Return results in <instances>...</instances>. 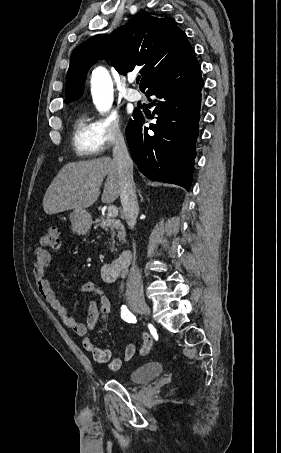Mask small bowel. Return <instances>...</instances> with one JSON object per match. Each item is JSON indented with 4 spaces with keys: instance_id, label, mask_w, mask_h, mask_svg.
<instances>
[{
    "instance_id": "obj_1",
    "label": "small bowel",
    "mask_w": 281,
    "mask_h": 453,
    "mask_svg": "<svg viewBox=\"0 0 281 453\" xmlns=\"http://www.w3.org/2000/svg\"><path fill=\"white\" fill-rule=\"evenodd\" d=\"M51 260L52 256L45 248L36 247L33 250V276L37 291L54 310L58 318L74 330L78 336L83 338L82 347L85 351L91 354L98 362L108 363L111 370H119L122 366V361L129 362L135 355L136 344H129L125 349L123 359H120L114 358L111 350L99 347L87 336L89 331L98 329L102 321L110 314L111 303L109 299L103 294L102 289L95 282H85L81 287V291L93 293L99 296V298L92 300L89 306V315L86 324L73 318L68 309L60 303L58 297L52 291L46 277V269L50 265ZM142 339L143 345L139 350L144 355H147L151 347V339L147 333L142 334Z\"/></svg>"
}]
</instances>
